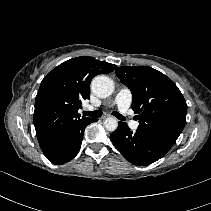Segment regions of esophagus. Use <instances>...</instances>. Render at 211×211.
<instances>
[{
	"label": "esophagus",
	"mask_w": 211,
	"mask_h": 211,
	"mask_svg": "<svg viewBox=\"0 0 211 211\" xmlns=\"http://www.w3.org/2000/svg\"><path fill=\"white\" fill-rule=\"evenodd\" d=\"M109 116H110V115L105 114V115L102 116V119H106V118H108Z\"/></svg>",
	"instance_id": "1"
}]
</instances>
